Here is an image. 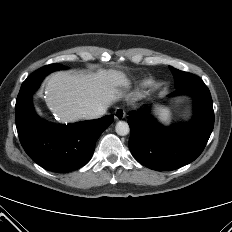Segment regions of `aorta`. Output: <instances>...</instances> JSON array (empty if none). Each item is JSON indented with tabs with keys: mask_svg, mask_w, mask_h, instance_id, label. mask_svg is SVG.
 Returning <instances> with one entry per match:
<instances>
[{
	"mask_svg": "<svg viewBox=\"0 0 232 232\" xmlns=\"http://www.w3.org/2000/svg\"><path fill=\"white\" fill-rule=\"evenodd\" d=\"M115 130L118 135L125 136L129 133V125L125 121H119L115 126Z\"/></svg>",
	"mask_w": 232,
	"mask_h": 232,
	"instance_id": "obj_1",
	"label": "aorta"
}]
</instances>
